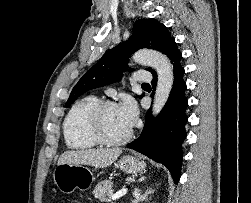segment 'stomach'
<instances>
[{"label":"stomach","mask_w":251,"mask_h":203,"mask_svg":"<svg viewBox=\"0 0 251 203\" xmlns=\"http://www.w3.org/2000/svg\"><path fill=\"white\" fill-rule=\"evenodd\" d=\"M116 167L127 174H135L144 170L146 164L133 156H121ZM54 183L64 194H70L75 189L85 191L94 181L90 169L83 164L64 163L58 165L53 173Z\"/></svg>","instance_id":"obj_1"}]
</instances>
